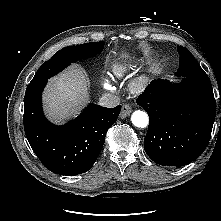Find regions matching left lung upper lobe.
<instances>
[{
  "label": "left lung upper lobe",
  "mask_w": 221,
  "mask_h": 221,
  "mask_svg": "<svg viewBox=\"0 0 221 221\" xmlns=\"http://www.w3.org/2000/svg\"><path fill=\"white\" fill-rule=\"evenodd\" d=\"M177 49L180 54V65L176 73L177 76L208 78L207 74L186 48L178 46Z\"/></svg>",
  "instance_id": "obj_1"
}]
</instances>
